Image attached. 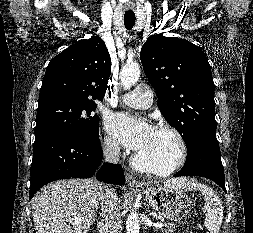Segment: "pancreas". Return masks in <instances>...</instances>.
<instances>
[{
	"label": "pancreas",
	"instance_id": "cf45deb5",
	"mask_svg": "<svg viewBox=\"0 0 253 233\" xmlns=\"http://www.w3.org/2000/svg\"><path fill=\"white\" fill-rule=\"evenodd\" d=\"M176 226L174 224H165V228L161 229L162 233H174Z\"/></svg>",
	"mask_w": 253,
	"mask_h": 233
}]
</instances>
